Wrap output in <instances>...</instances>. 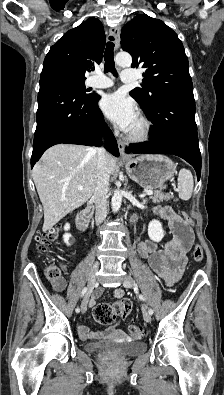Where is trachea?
<instances>
[{
    "label": "trachea",
    "mask_w": 224,
    "mask_h": 395,
    "mask_svg": "<svg viewBox=\"0 0 224 395\" xmlns=\"http://www.w3.org/2000/svg\"><path fill=\"white\" fill-rule=\"evenodd\" d=\"M109 42L107 43V47L104 53V61H105V68H104V72H111L114 76H117V72L115 69V63H114V53H113V49H114V37L110 36L109 37Z\"/></svg>",
    "instance_id": "3493384b"
}]
</instances>
